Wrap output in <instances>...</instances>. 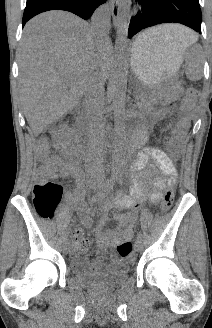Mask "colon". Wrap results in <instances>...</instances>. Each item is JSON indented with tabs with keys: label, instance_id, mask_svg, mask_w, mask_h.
<instances>
[{
	"label": "colon",
	"instance_id": "1",
	"mask_svg": "<svg viewBox=\"0 0 212 328\" xmlns=\"http://www.w3.org/2000/svg\"><path fill=\"white\" fill-rule=\"evenodd\" d=\"M198 92L194 88H189L182 102V107L185 111L191 109L196 102ZM187 131V122L180 121L172 133L170 140V150L174 156H179L181 152V142ZM48 144L41 141L37 147V154L41 160H44L48 154ZM63 188L61 185L51 181H39L33 187V205L36 213L43 219H52L61 202ZM174 202V191L168 189L164 195L161 209L163 212H168ZM76 238V235H75ZM117 253L128 260H133L132 243L129 239H122L116 247Z\"/></svg>",
	"mask_w": 212,
	"mask_h": 328
}]
</instances>
